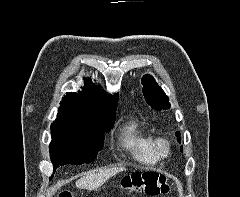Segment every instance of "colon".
<instances>
[{"label": "colon", "instance_id": "1", "mask_svg": "<svg viewBox=\"0 0 240 197\" xmlns=\"http://www.w3.org/2000/svg\"><path fill=\"white\" fill-rule=\"evenodd\" d=\"M123 190L129 193H146L148 195H158L167 193L170 187L164 175L158 173H134L123 180ZM59 197H72L68 191H63Z\"/></svg>", "mask_w": 240, "mask_h": 197}]
</instances>
